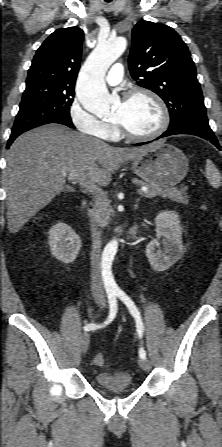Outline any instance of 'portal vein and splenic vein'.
Returning <instances> with one entry per match:
<instances>
[{
    "mask_svg": "<svg viewBox=\"0 0 222 447\" xmlns=\"http://www.w3.org/2000/svg\"><path fill=\"white\" fill-rule=\"evenodd\" d=\"M74 175V173H71L69 175V177L71 178ZM82 187L86 188L87 190L94 192V193H100L102 195H104L103 192H99L96 188V186L94 185H89L88 182L84 181V180H78L77 181ZM142 192H148V188L147 187H141V189L138 190V193H142Z\"/></svg>",
    "mask_w": 222,
    "mask_h": 447,
    "instance_id": "obj_1",
    "label": "portal vein and splenic vein"
}]
</instances>
